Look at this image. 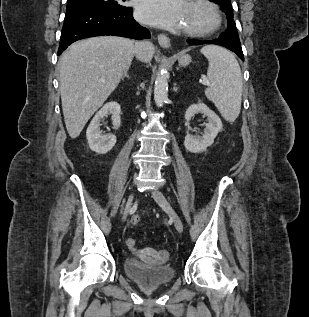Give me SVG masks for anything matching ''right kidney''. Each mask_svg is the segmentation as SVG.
<instances>
[{"label":"right kidney","instance_id":"obj_1","mask_svg":"<svg viewBox=\"0 0 309 317\" xmlns=\"http://www.w3.org/2000/svg\"><path fill=\"white\" fill-rule=\"evenodd\" d=\"M108 114H112L114 129H118L121 125V108L117 102L106 103L94 116L90 122L86 137L89 148L97 154H106L116 144V136L113 134L102 135L100 131L101 121Z\"/></svg>","mask_w":309,"mask_h":317}]
</instances>
